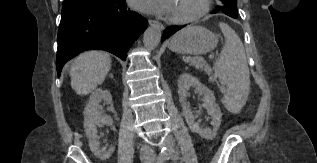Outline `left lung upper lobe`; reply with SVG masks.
I'll return each instance as SVG.
<instances>
[{"instance_id":"left-lung-upper-lobe-1","label":"left lung upper lobe","mask_w":317,"mask_h":163,"mask_svg":"<svg viewBox=\"0 0 317 163\" xmlns=\"http://www.w3.org/2000/svg\"><path fill=\"white\" fill-rule=\"evenodd\" d=\"M224 6H217L212 13H217L219 10L223 11L228 16L237 18V0H221Z\"/></svg>"}]
</instances>
